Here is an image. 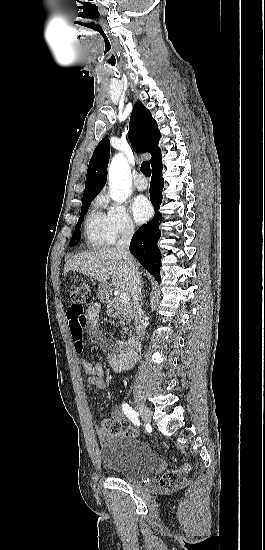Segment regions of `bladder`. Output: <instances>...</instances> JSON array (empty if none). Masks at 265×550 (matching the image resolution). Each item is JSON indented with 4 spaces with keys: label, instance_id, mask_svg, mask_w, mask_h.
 <instances>
[{
    "label": "bladder",
    "instance_id": "1",
    "mask_svg": "<svg viewBox=\"0 0 265 550\" xmlns=\"http://www.w3.org/2000/svg\"><path fill=\"white\" fill-rule=\"evenodd\" d=\"M100 459L106 468L128 481L148 476L157 467L155 452L131 437H113L103 443Z\"/></svg>",
    "mask_w": 265,
    "mask_h": 550
}]
</instances>
